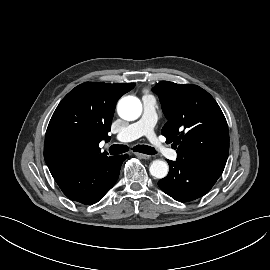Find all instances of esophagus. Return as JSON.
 Segmentation results:
<instances>
[{
	"label": "esophagus",
	"instance_id": "1",
	"mask_svg": "<svg viewBox=\"0 0 270 270\" xmlns=\"http://www.w3.org/2000/svg\"><path fill=\"white\" fill-rule=\"evenodd\" d=\"M134 154H135L137 157H139V158H141V159H145V160H147V159H150V158H151V156H150V155L143 154V153H139V152H135Z\"/></svg>",
	"mask_w": 270,
	"mask_h": 270
}]
</instances>
